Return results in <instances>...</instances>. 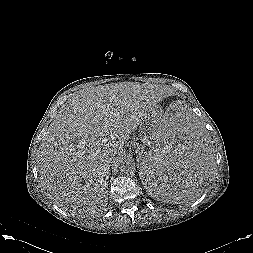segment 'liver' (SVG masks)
<instances>
[{"instance_id": "1", "label": "liver", "mask_w": 253, "mask_h": 253, "mask_svg": "<svg viewBox=\"0 0 253 253\" xmlns=\"http://www.w3.org/2000/svg\"><path fill=\"white\" fill-rule=\"evenodd\" d=\"M167 87L121 82L82 89L60 108L41 144L42 185L61 208L90 216L104 210L112 159Z\"/></svg>"}]
</instances>
